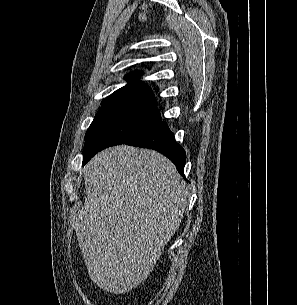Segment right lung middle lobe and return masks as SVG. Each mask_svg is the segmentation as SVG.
<instances>
[{"mask_svg": "<svg viewBox=\"0 0 297 305\" xmlns=\"http://www.w3.org/2000/svg\"><path fill=\"white\" fill-rule=\"evenodd\" d=\"M102 105L85 135L83 165L96 151L123 144L161 121L153 101L118 99Z\"/></svg>", "mask_w": 297, "mask_h": 305, "instance_id": "obj_1", "label": "right lung middle lobe"}]
</instances>
